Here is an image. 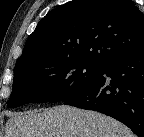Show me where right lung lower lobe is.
Wrapping results in <instances>:
<instances>
[{"mask_svg": "<svg viewBox=\"0 0 144 137\" xmlns=\"http://www.w3.org/2000/svg\"><path fill=\"white\" fill-rule=\"evenodd\" d=\"M64 103L104 113L144 137V47L105 64L97 80Z\"/></svg>", "mask_w": 144, "mask_h": 137, "instance_id": "98d812e1", "label": "right lung lower lobe"}]
</instances>
